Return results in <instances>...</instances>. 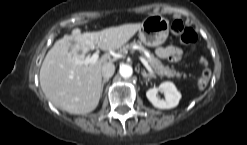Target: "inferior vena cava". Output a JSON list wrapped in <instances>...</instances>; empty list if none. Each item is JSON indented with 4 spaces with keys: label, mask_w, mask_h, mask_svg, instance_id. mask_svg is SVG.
Returning a JSON list of instances; mask_svg holds the SVG:
<instances>
[{
    "label": "inferior vena cava",
    "mask_w": 247,
    "mask_h": 145,
    "mask_svg": "<svg viewBox=\"0 0 247 145\" xmlns=\"http://www.w3.org/2000/svg\"><path fill=\"white\" fill-rule=\"evenodd\" d=\"M101 72L104 79H109L115 72V65L112 62H106L103 64Z\"/></svg>",
    "instance_id": "1"
}]
</instances>
